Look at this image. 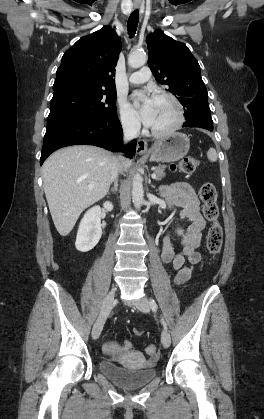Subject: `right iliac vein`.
Wrapping results in <instances>:
<instances>
[{
  "label": "right iliac vein",
  "mask_w": 264,
  "mask_h": 419,
  "mask_svg": "<svg viewBox=\"0 0 264 419\" xmlns=\"http://www.w3.org/2000/svg\"><path fill=\"white\" fill-rule=\"evenodd\" d=\"M115 302V289H112L108 295L106 296L100 314L96 320V322L94 323L93 329H92V337L93 339H97L100 334L101 331L103 329L104 323L114 305Z\"/></svg>",
  "instance_id": "1"
}]
</instances>
